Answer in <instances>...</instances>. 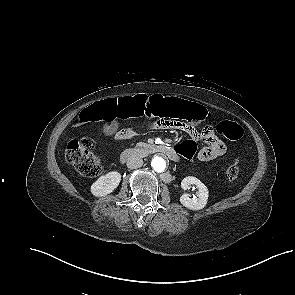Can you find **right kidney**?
<instances>
[{
    "label": "right kidney",
    "mask_w": 295,
    "mask_h": 295,
    "mask_svg": "<svg viewBox=\"0 0 295 295\" xmlns=\"http://www.w3.org/2000/svg\"><path fill=\"white\" fill-rule=\"evenodd\" d=\"M121 181V174L112 171L98 178L90 188L91 193L96 197H102L112 193Z\"/></svg>",
    "instance_id": "1"
}]
</instances>
